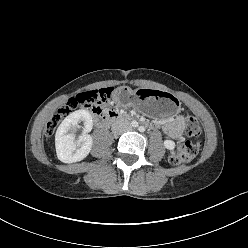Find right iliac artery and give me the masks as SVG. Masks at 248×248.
I'll return each mask as SVG.
<instances>
[{
  "label": "right iliac artery",
  "mask_w": 248,
  "mask_h": 248,
  "mask_svg": "<svg viewBox=\"0 0 248 248\" xmlns=\"http://www.w3.org/2000/svg\"><path fill=\"white\" fill-rule=\"evenodd\" d=\"M131 124L133 127H138V123L136 121H132Z\"/></svg>",
  "instance_id": "right-iliac-artery-1"
}]
</instances>
